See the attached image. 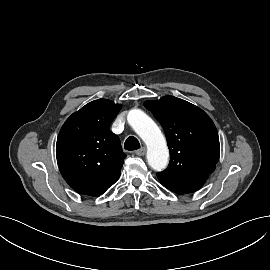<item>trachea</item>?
<instances>
[{"label":"trachea","mask_w":270,"mask_h":270,"mask_svg":"<svg viewBox=\"0 0 270 270\" xmlns=\"http://www.w3.org/2000/svg\"><path fill=\"white\" fill-rule=\"evenodd\" d=\"M124 148L129 151L137 150L140 148V143L137 138L130 136L126 139Z\"/></svg>","instance_id":"obj_1"}]
</instances>
